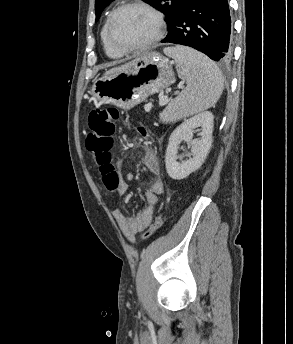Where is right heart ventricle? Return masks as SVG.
<instances>
[{"label": "right heart ventricle", "mask_w": 293, "mask_h": 344, "mask_svg": "<svg viewBox=\"0 0 293 344\" xmlns=\"http://www.w3.org/2000/svg\"><path fill=\"white\" fill-rule=\"evenodd\" d=\"M108 18H109V16L105 19V21L103 23V26H102L101 32H100V38H101V42H102L105 54L109 58L117 60V59L122 58L124 56V54L114 50L108 42L107 33H106Z\"/></svg>", "instance_id": "right-heart-ventricle-1"}]
</instances>
